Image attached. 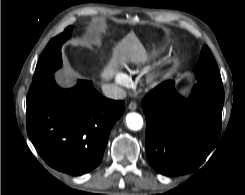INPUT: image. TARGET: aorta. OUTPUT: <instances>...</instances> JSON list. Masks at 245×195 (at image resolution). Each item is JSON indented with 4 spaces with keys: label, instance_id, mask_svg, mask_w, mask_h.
Here are the masks:
<instances>
[{
    "label": "aorta",
    "instance_id": "aorta-1",
    "mask_svg": "<svg viewBox=\"0 0 245 195\" xmlns=\"http://www.w3.org/2000/svg\"><path fill=\"white\" fill-rule=\"evenodd\" d=\"M126 123L129 129L137 131L143 126V118L140 114L132 112L127 114Z\"/></svg>",
    "mask_w": 245,
    "mask_h": 195
}]
</instances>
